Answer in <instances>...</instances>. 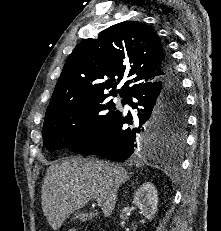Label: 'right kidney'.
<instances>
[{"label":"right kidney","mask_w":221,"mask_h":231,"mask_svg":"<svg viewBox=\"0 0 221 231\" xmlns=\"http://www.w3.org/2000/svg\"><path fill=\"white\" fill-rule=\"evenodd\" d=\"M134 204L146 219L152 220L158 206V194L155 186L150 182L142 184L135 193Z\"/></svg>","instance_id":"1"}]
</instances>
